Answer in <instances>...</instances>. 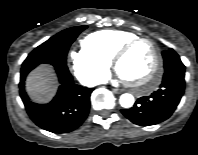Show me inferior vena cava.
Returning <instances> with one entry per match:
<instances>
[{
    "instance_id": "inferior-vena-cava-1",
    "label": "inferior vena cava",
    "mask_w": 198,
    "mask_h": 155,
    "mask_svg": "<svg viewBox=\"0 0 198 155\" xmlns=\"http://www.w3.org/2000/svg\"><path fill=\"white\" fill-rule=\"evenodd\" d=\"M104 83V81L98 80V79H92L90 81L87 82V86H96L99 84Z\"/></svg>"
}]
</instances>
